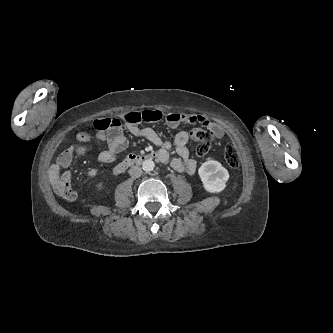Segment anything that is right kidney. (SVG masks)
<instances>
[{"mask_svg": "<svg viewBox=\"0 0 333 333\" xmlns=\"http://www.w3.org/2000/svg\"><path fill=\"white\" fill-rule=\"evenodd\" d=\"M101 186H102V183L97 184L98 188H101Z\"/></svg>", "mask_w": 333, "mask_h": 333, "instance_id": "obj_1", "label": "right kidney"}]
</instances>
